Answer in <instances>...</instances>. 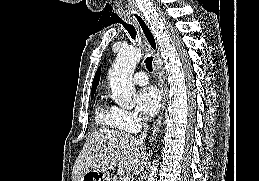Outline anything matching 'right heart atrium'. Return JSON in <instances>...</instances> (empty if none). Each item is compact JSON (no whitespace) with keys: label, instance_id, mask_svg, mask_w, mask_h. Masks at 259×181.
Instances as JSON below:
<instances>
[{"label":"right heart atrium","instance_id":"d8ad5b80","mask_svg":"<svg viewBox=\"0 0 259 181\" xmlns=\"http://www.w3.org/2000/svg\"><path fill=\"white\" fill-rule=\"evenodd\" d=\"M114 116L119 126L129 132H136L145 122L137 112L113 107Z\"/></svg>","mask_w":259,"mask_h":181}]
</instances>
